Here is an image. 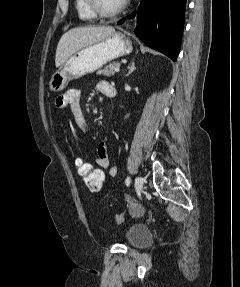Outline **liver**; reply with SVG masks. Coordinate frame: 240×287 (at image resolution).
Listing matches in <instances>:
<instances>
[{"instance_id": "obj_1", "label": "liver", "mask_w": 240, "mask_h": 287, "mask_svg": "<svg viewBox=\"0 0 240 287\" xmlns=\"http://www.w3.org/2000/svg\"><path fill=\"white\" fill-rule=\"evenodd\" d=\"M112 26H84L75 27L62 35L55 55V65L60 67L71 55L78 50L99 42L113 34Z\"/></svg>"}]
</instances>
